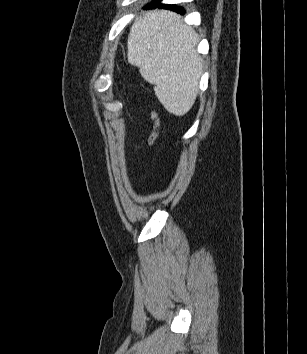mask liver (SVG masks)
<instances>
[{"instance_id":"obj_1","label":"liver","mask_w":307,"mask_h":354,"mask_svg":"<svg viewBox=\"0 0 307 354\" xmlns=\"http://www.w3.org/2000/svg\"><path fill=\"white\" fill-rule=\"evenodd\" d=\"M197 44L195 31L173 11L147 12L130 29L129 63L140 68L160 103L175 116L189 112L199 92L202 58Z\"/></svg>"}]
</instances>
